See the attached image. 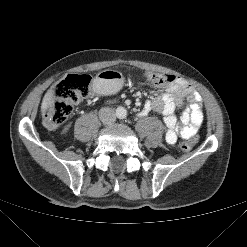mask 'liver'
Segmentation results:
<instances>
[{
    "label": "liver",
    "mask_w": 247,
    "mask_h": 247,
    "mask_svg": "<svg viewBox=\"0 0 247 247\" xmlns=\"http://www.w3.org/2000/svg\"><path fill=\"white\" fill-rule=\"evenodd\" d=\"M53 98H54V92L52 90L47 91L41 104L42 112L46 111L49 108V106L53 101Z\"/></svg>",
    "instance_id": "6515ba94"
}]
</instances>
